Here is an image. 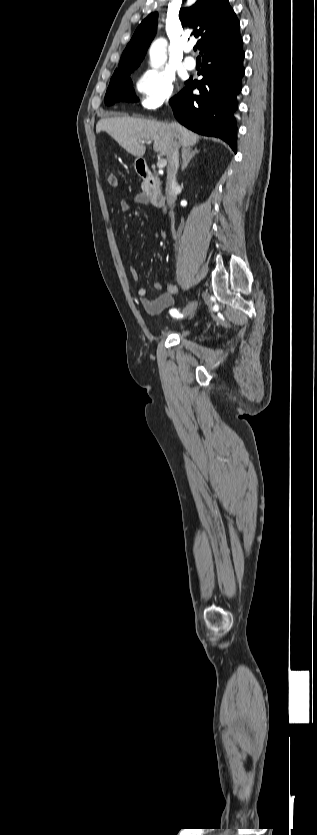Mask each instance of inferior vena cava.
Returning a JSON list of instances; mask_svg holds the SVG:
<instances>
[{"instance_id": "inferior-vena-cava-1", "label": "inferior vena cava", "mask_w": 317, "mask_h": 835, "mask_svg": "<svg viewBox=\"0 0 317 835\" xmlns=\"http://www.w3.org/2000/svg\"><path fill=\"white\" fill-rule=\"evenodd\" d=\"M167 159L168 166L165 194L167 204L171 209L170 214H173V208L176 200V189L178 186L176 181V175L179 168V146L176 142H173L171 151L167 156Z\"/></svg>"}]
</instances>
